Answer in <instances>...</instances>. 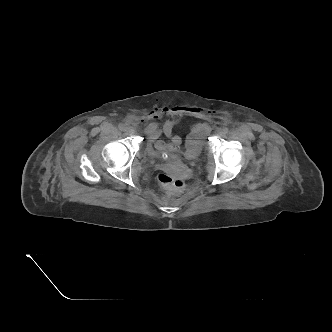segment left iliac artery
I'll return each instance as SVG.
<instances>
[{"mask_svg":"<svg viewBox=\"0 0 332 332\" xmlns=\"http://www.w3.org/2000/svg\"><path fill=\"white\" fill-rule=\"evenodd\" d=\"M222 131L224 134H227L229 132V129L227 127H223Z\"/></svg>","mask_w":332,"mask_h":332,"instance_id":"1","label":"left iliac artery"}]
</instances>
